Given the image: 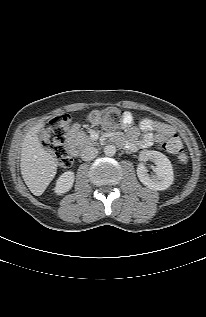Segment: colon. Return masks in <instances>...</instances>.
I'll return each instance as SVG.
<instances>
[{
  "mask_svg": "<svg viewBox=\"0 0 206 317\" xmlns=\"http://www.w3.org/2000/svg\"><path fill=\"white\" fill-rule=\"evenodd\" d=\"M123 120L124 112L115 107L94 110L88 115V121L92 125L109 130L119 129L123 125ZM69 123L68 115H60L50 121L40 134L43 146L55 154L57 162L62 168L72 165V158L65 144ZM161 147L176 155L181 162L186 160L182 143L176 133L166 136L161 142Z\"/></svg>",
  "mask_w": 206,
  "mask_h": 317,
  "instance_id": "obj_1",
  "label": "colon"
}]
</instances>
